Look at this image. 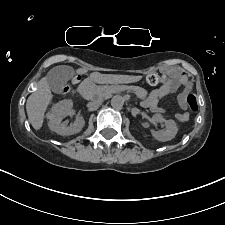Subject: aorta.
<instances>
[{"label":"aorta","mask_w":225,"mask_h":225,"mask_svg":"<svg viewBox=\"0 0 225 225\" xmlns=\"http://www.w3.org/2000/svg\"><path fill=\"white\" fill-rule=\"evenodd\" d=\"M125 104V98L121 95H115L111 99V106L116 110H121Z\"/></svg>","instance_id":"obj_1"}]
</instances>
